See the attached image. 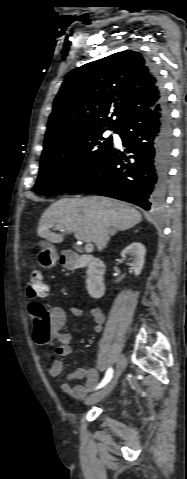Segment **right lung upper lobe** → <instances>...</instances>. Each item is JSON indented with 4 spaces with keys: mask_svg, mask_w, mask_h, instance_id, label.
Wrapping results in <instances>:
<instances>
[{
    "mask_svg": "<svg viewBox=\"0 0 187 479\" xmlns=\"http://www.w3.org/2000/svg\"><path fill=\"white\" fill-rule=\"evenodd\" d=\"M160 99L158 80L138 52L87 63L67 74L54 100L44 147L85 131L117 130L132 113Z\"/></svg>",
    "mask_w": 187,
    "mask_h": 479,
    "instance_id": "1",
    "label": "right lung upper lobe"
}]
</instances>
